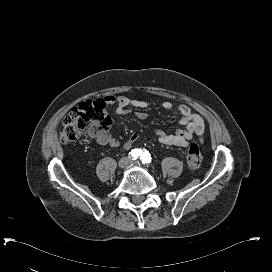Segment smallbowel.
<instances>
[{
	"instance_id": "1",
	"label": "small bowel",
	"mask_w": 272,
	"mask_h": 272,
	"mask_svg": "<svg viewBox=\"0 0 272 272\" xmlns=\"http://www.w3.org/2000/svg\"><path fill=\"white\" fill-rule=\"evenodd\" d=\"M108 101L116 104V113L118 115H127L131 113V107L137 109H145L149 107V103L140 100H133L124 96H108ZM163 109L171 111L173 109L172 103L164 101L162 103ZM175 115L178 117V123L186 125L185 129L177 130L175 133L168 134L162 130H156L155 134L161 144L177 147H188L190 145L193 135H197L200 139L205 133V124L200 115L193 113L186 105H180L175 110ZM135 116L139 119H147L148 114L143 111L135 112ZM138 132H133L128 140L125 142L124 147L130 149L139 139ZM96 141L99 144L107 145L117 148L121 145L120 141L114 138L109 132L101 133Z\"/></svg>"
}]
</instances>
